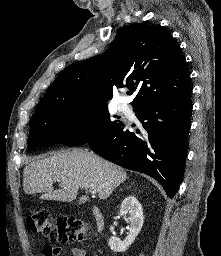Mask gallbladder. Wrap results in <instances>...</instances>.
<instances>
[{"label":"gallbladder","mask_w":221,"mask_h":256,"mask_svg":"<svg viewBox=\"0 0 221 256\" xmlns=\"http://www.w3.org/2000/svg\"><path fill=\"white\" fill-rule=\"evenodd\" d=\"M86 200H87L86 197H81V198L79 199V201H78V204L81 205V204L85 203Z\"/></svg>","instance_id":"gallbladder-1"}]
</instances>
